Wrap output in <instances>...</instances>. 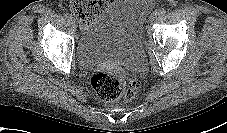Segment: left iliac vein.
<instances>
[{
    "label": "left iliac vein",
    "mask_w": 227,
    "mask_h": 133,
    "mask_svg": "<svg viewBox=\"0 0 227 133\" xmlns=\"http://www.w3.org/2000/svg\"><path fill=\"white\" fill-rule=\"evenodd\" d=\"M157 18V14L155 13V12H153L152 14H151V16H150V21L152 22V21H154L155 19Z\"/></svg>",
    "instance_id": "left-iliac-vein-1"
}]
</instances>
